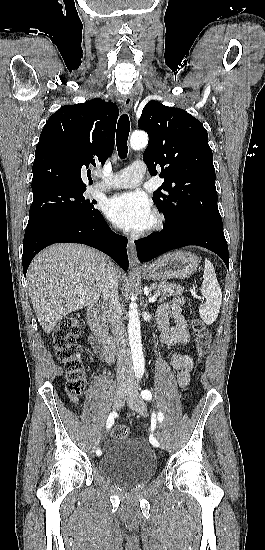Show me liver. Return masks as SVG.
Instances as JSON below:
<instances>
[{"label": "liver", "mask_w": 265, "mask_h": 550, "mask_svg": "<svg viewBox=\"0 0 265 550\" xmlns=\"http://www.w3.org/2000/svg\"><path fill=\"white\" fill-rule=\"evenodd\" d=\"M110 259L93 248L59 243L40 252L27 272L28 292L45 333L74 311L96 303L103 292Z\"/></svg>", "instance_id": "6515ba94"}]
</instances>
